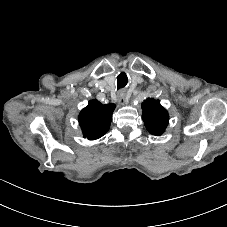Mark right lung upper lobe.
Returning a JSON list of instances; mask_svg holds the SVG:
<instances>
[{
  "mask_svg": "<svg viewBox=\"0 0 227 227\" xmlns=\"http://www.w3.org/2000/svg\"><path fill=\"white\" fill-rule=\"evenodd\" d=\"M115 104L103 105L97 100L89 101L79 114L78 121L84 137L95 140L102 137L109 129Z\"/></svg>",
  "mask_w": 227,
  "mask_h": 227,
  "instance_id": "obj_1",
  "label": "right lung upper lobe"
}]
</instances>
